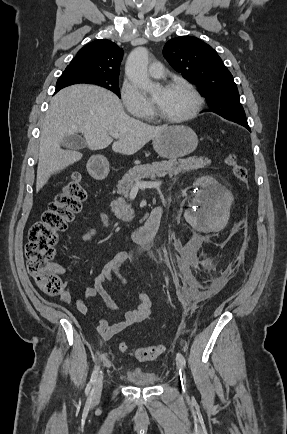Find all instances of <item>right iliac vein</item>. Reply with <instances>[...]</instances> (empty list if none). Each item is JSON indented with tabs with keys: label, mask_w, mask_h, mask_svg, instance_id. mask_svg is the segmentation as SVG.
I'll return each instance as SVG.
<instances>
[{
	"label": "right iliac vein",
	"mask_w": 287,
	"mask_h": 434,
	"mask_svg": "<svg viewBox=\"0 0 287 434\" xmlns=\"http://www.w3.org/2000/svg\"><path fill=\"white\" fill-rule=\"evenodd\" d=\"M103 378H104V376H103V374H101L95 383L94 391H93V398L94 399H98L101 395L102 388H103Z\"/></svg>",
	"instance_id": "63e3f726"
}]
</instances>
